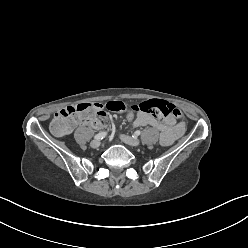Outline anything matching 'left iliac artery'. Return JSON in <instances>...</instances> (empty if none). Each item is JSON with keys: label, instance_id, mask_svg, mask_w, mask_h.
Masks as SVG:
<instances>
[{"label": "left iliac artery", "instance_id": "1", "mask_svg": "<svg viewBox=\"0 0 248 248\" xmlns=\"http://www.w3.org/2000/svg\"><path fill=\"white\" fill-rule=\"evenodd\" d=\"M141 134L140 131H135L134 134L132 135V137H138Z\"/></svg>", "mask_w": 248, "mask_h": 248}]
</instances>
